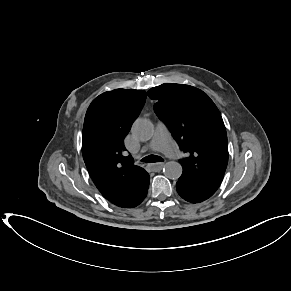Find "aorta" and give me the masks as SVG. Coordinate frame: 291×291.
Returning a JSON list of instances; mask_svg holds the SVG:
<instances>
[{"label": "aorta", "mask_w": 291, "mask_h": 291, "mask_svg": "<svg viewBox=\"0 0 291 291\" xmlns=\"http://www.w3.org/2000/svg\"><path fill=\"white\" fill-rule=\"evenodd\" d=\"M133 136L140 141H148L153 137L154 125L148 119L138 118L132 126ZM164 174L169 179L176 180L182 174V166L175 161L167 162L164 166Z\"/></svg>", "instance_id": "1"}]
</instances>
